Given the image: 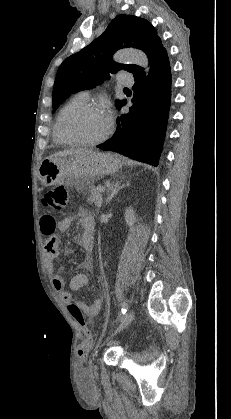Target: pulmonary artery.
<instances>
[{
	"label": "pulmonary artery",
	"mask_w": 231,
	"mask_h": 419,
	"mask_svg": "<svg viewBox=\"0 0 231 419\" xmlns=\"http://www.w3.org/2000/svg\"><path fill=\"white\" fill-rule=\"evenodd\" d=\"M117 80L121 85H124V86H132L134 83L133 78L130 75H119ZM81 94L85 98H88L90 95V91L85 90V91H82Z\"/></svg>",
	"instance_id": "e3ab8cb5"
}]
</instances>
